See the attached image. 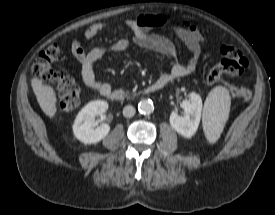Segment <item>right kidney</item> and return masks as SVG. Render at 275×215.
<instances>
[{
	"mask_svg": "<svg viewBox=\"0 0 275 215\" xmlns=\"http://www.w3.org/2000/svg\"><path fill=\"white\" fill-rule=\"evenodd\" d=\"M107 109L108 103L103 100L92 101L83 107L72 127L75 137L85 144L97 143L104 139L110 131V126L104 123L94 128V119Z\"/></svg>",
	"mask_w": 275,
	"mask_h": 215,
	"instance_id": "1",
	"label": "right kidney"
}]
</instances>
